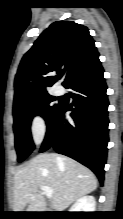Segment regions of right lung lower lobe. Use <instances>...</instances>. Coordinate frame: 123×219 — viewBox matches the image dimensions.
<instances>
[{"mask_svg": "<svg viewBox=\"0 0 123 219\" xmlns=\"http://www.w3.org/2000/svg\"><path fill=\"white\" fill-rule=\"evenodd\" d=\"M104 70L97 57L75 73L64 84L72 89V103H60L47 125V132L40 152L53 147L57 153L69 156L90 168L104 181L107 158L108 98ZM71 111V119L64 113Z\"/></svg>", "mask_w": 123, "mask_h": 219, "instance_id": "right-lung-lower-lobe-1", "label": "right lung lower lobe"}]
</instances>
